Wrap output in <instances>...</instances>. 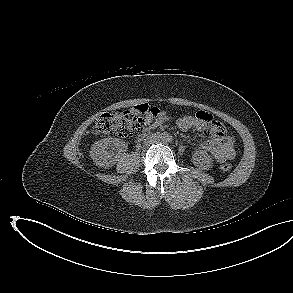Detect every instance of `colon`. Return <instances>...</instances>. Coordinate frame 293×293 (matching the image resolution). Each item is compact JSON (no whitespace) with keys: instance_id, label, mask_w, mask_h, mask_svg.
I'll return each instance as SVG.
<instances>
[{"instance_id":"1","label":"colon","mask_w":293,"mask_h":293,"mask_svg":"<svg viewBox=\"0 0 293 293\" xmlns=\"http://www.w3.org/2000/svg\"><path fill=\"white\" fill-rule=\"evenodd\" d=\"M199 117L209 120V117L204 113H199ZM144 124L141 113L135 109L130 110H113L101 115L94 127L95 135H111L117 137H129L136 131L140 130ZM223 172H228L232 169V165L224 163L220 166Z\"/></svg>"}]
</instances>
